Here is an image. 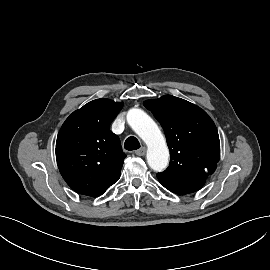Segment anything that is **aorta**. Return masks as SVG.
I'll return each instance as SVG.
<instances>
[{"label":"aorta","mask_w":270,"mask_h":270,"mask_svg":"<svg viewBox=\"0 0 270 270\" xmlns=\"http://www.w3.org/2000/svg\"><path fill=\"white\" fill-rule=\"evenodd\" d=\"M127 121L148 147L147 162L149 166L156 172L163 171L168 165L169 150L157 124L138 108L129 110Z\"/></svg>","instance_id":"obj_1"}]
</instances>
